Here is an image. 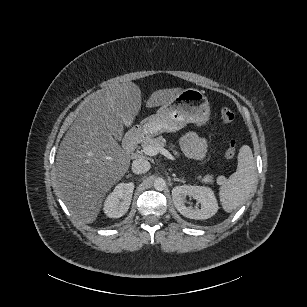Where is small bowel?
Wrapping results in <instances>:
<instances>
[{"label": "small bowel", "mask_w": 307, "mask_h": 307, "mask_svg": "<svg viewBox=\"0 0 307 307\" xmlns=\"http://www.w3.org/2000/svg\"><path fill=\"white\" fill-rule=\"evenodd\" d=\"M181 148L188 158L201 160L206 154V142L196 132L186 133L180 140Z\"/></svg>", "instance_id": "obj_1"}]
</instances>
